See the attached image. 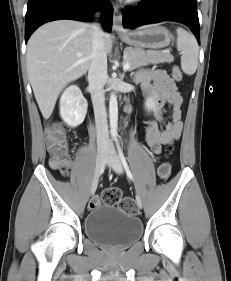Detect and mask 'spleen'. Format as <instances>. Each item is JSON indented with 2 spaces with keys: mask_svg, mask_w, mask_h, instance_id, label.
Listing matches in <instances>:
<instances>
[{
  "mask_svg": "<svg viewBox=\"0 0 231 281\" xmlns=\"http://www.w3.org/2000/svg\"><path fill=\"white\" fill-rule=\"evenodd\" d=\"M177 50L181 52V69L187 75H193L198 66L199 47L195 37L185 29L177 28Z\"/></svg>",
  "mask_w": 231,
  "mask_h": 281,
  "instance_id": "spleen-1",
  "label": "spleen"
}]
</instances>
